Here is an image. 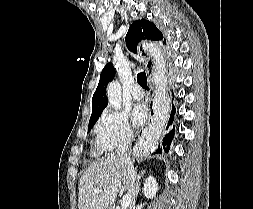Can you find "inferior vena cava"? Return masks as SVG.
Wrapping results in <instances>:
<instances>
[{"instance_id": "obj_1", "label": "inferior vena cava", "mask_w": 253, "mask_h": 209, "mask_svg": "<svg viewBox=\"0 0 253 209\" xmlns=\"http://www.w3.org/2000/svg\"><path fill=\"white\" fill-rule=\"evenodd\" d=\"M131 139H132V133L129 132L124 136V138H122L121 142L119 143V145L117 147L116 153L118 155L124 157L126 162L128 163V170H129V175H130V180H131V195H132V200H133V204H134V200H135V196H136V192H137L136 173H135L134 168L130 162L129 157L126 154V152L129 149Z\"/></svg>"}]
</instances>
